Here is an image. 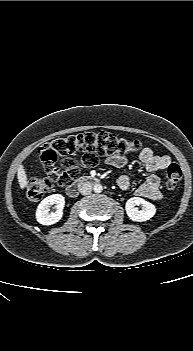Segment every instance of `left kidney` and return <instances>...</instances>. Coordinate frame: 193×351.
Returning <instances> with one entry per match:
<instances>
[{"label": "left kidney", "mask_w": 193, "mask_h": 351, "mask_svg": "<svg viewBox=\"0 0 193 351\" xmlns=\"http://www.w3.org/2000/svg\"><path fill=\"white\" fill-rule=\"evenodd\" d=\"M137 205H141L142 209L138 210ZM125 209L128 217L136 222L147 221L156 213L155 206L140 197H133L127 200Z\"/></svg>", "instance_id": "5707ae66"}]
</instances>
